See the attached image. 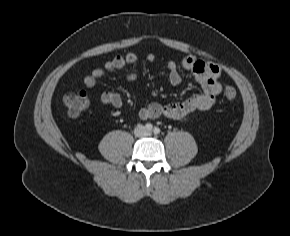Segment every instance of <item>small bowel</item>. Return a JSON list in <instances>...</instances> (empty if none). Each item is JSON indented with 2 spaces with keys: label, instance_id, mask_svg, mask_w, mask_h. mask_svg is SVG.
Instances as JSON below:
<instances>
[{
  "label": "small bowel",
  "instance_id": "c3829d8e",
  "mask_svg": "<svg viewBox=\"0 0 290 236\" xmlns=\"http://www.w3.org/2000/svg\"><path fill=\"white\" fill-rule=\"evenodd\" d=\"M149 63L156 62L153 54L148 55ZM138 63L136 54L130 52L125 55H117L106 61L103 66L94 68L83 79L84 85L88 88L95 86L97 81L103 77L106 72H114L125 68H134ZM180 67L192 72L201 86V91L195 93L184 101L177 103H152L138 112L139 118L145 120L150 118L166 117L173 120H179L187 117L195 111H203L211 108L215 103L217 95L221 92V85L218 82L220 68L213 63H205L192 56L184 57L180 64L175 61H168V80L177 86L182 82ZM127 79L131 82L137 79V73L131 70L127 74ZM100 101L105 105H111L120 108L123 105V99L120 94L115 92H104L100 96Z\"/></svg>",
  "mask_w": 290,
  "mask_h": 236
}]
</instances>
